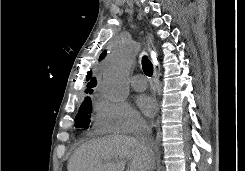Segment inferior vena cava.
I'll return each mask as SVG.
<instances>
[{"mask_svg": "<svg viewBox=\"0 0 245 171\" xmlns=\"http://www.w3.org/2000/svg\"><path fill=\"white\" fill-rule=\"evenodd\" d=\"M151 133V128L147 126L145 122L138 123L136 140L138 141L144 156L148 159L153 157V138Z\"/></svg>", "mask_w": 245, "mask_h": 171, "instance_id": "602c4592", "label": "inferior vena cava"}]
</instances>
